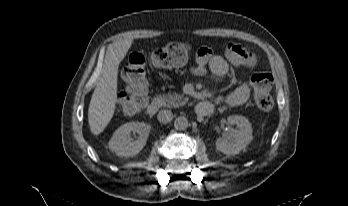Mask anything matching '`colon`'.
Masks as SVG:
<instances>
[{
  "instance_id": "obj_1",
  "label": "colon",
  "mask_w": 348,
  "mask_h": 206,
  "mask_svg": "<svg viewBox=\"0 0 348 206\" xmlns=\"http://www.w3.org/2000/svg\"><path fill=\"white\" fill-rule=\"evenodd\" d=\"M199 51L197 52V57ZM187 59L186 48L178 43L155 49L150 53L135 51L128 56L122 76L126 83V91L121 93L117 100L118 108L125 114H136L146 104L147 79L145 66L149 60L152 65L160 68H178ZM254 101L262 111H269L273 107L271 89L273 77L266 72H254L250 77Z\"/></svg>"
}]
</instances>
